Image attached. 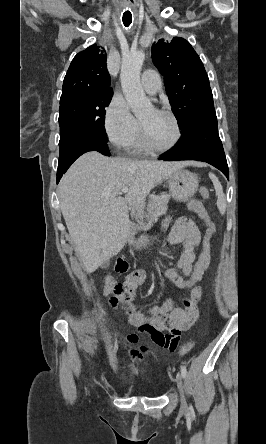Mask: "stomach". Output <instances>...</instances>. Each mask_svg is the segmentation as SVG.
Returning <instances> with one entry per match:
<instances>
[{"instance_id": "obj_1", "label": "stomach", "mask_w": 266, "mask_h": 444, "mask_svg": "<svg viewBox=\"0 0 266 444\" xmlns=\"http://www.w3.org/2000/svg\"><path fill=\"white\" fill-rule=\"evenodd\" d=\"M171 196L179 201H188L199 186L196 174L180 168L167 177Z\"/></svg>"}]
</instances>
